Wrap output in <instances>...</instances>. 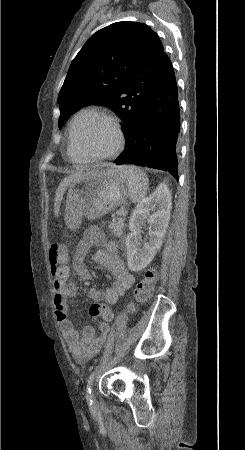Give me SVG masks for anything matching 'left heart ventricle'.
Segmentation results:
<instances>
[{
	"label": "left heart ventricle",
	"mask_w": 245,
	"mask_h": 450,
	"mask_svg": "<svg viewBox=\"0 0 245 450\" xmlns=\"http://www.w3.org/2000/svg\"><path fill=\"white\" fill-rule=\"evenodd\" d=\"M76 146L89 156L105 155L116 145V133L104 121L83 122L75 131Z\"/></svg>",
	"instance_id": "1"
}]
</instances>
